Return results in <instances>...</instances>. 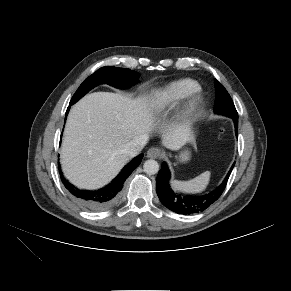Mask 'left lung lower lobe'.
<instances>
[{
    "instance_id": "1",
    "label": "left lung lower lobe",
    "mask_w": 291,
    "mask_h": 291,
    "mask_svg": "<svg viewBox=\"0 0 291 291\" xmlns=\"http://www.w3.org/2000/svg\"><path fill=\"white\" fill-rule=\"evenodd\" d=\"M228 117L234 120L235 132L236 136H238V116ZM233 167L234 164L221 185L214 189L212 192L203 196H184L182 194H178L172 191L169 185L170 171L167 164L164 162L162 163L161 169L157 176V195L165 207L178 214L191 215L202 212L221 196L226 187L228 178L232 172Z\"/></svg>"
}]
</instances>
